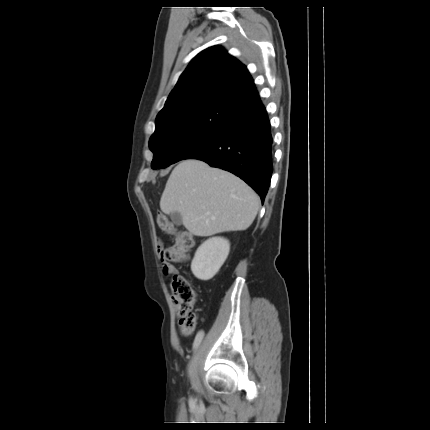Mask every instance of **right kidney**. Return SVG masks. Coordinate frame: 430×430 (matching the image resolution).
Wrapping results in <instances>:
<instances>
[{"label":"right kidney","mask_w":430,"mask_h":430,"mask_svg":"<svg viewBox=\"0 0 430 430\" xmlns=\"http://www.w3.org/2000/svg\"><path fill=\"white\" fill-rule=\"evenodd\" d=\"M229 250V241L224 238L213 237L203 242L191 263L194 276L203 281L213 278L225 262Z\"/></svg>","instance_id":"1"}]
</instances>
